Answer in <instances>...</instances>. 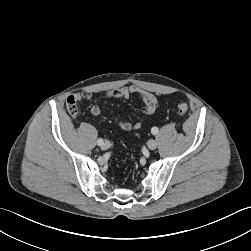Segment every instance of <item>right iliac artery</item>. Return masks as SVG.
Returning <instances> with one entry per match:
<instances>
[{"mask_svg":"<svg viewBox=\"0 0 251 251\" xmlns=\"http://www.w3.org/2000/svg\"><path fill=\"white\" fill-rule=\"evenodd\" d=\"M97 144H98L99 146H101V145L103 144V139L99 138V139L97 140Z\"/></svg>","mask_w":251,"mask_h":251,"instance_id":"1","label":"right iliac artery"}]
</instances>
